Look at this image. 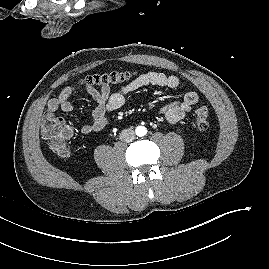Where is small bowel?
Here are the masks:
<instances>
[{
	"label": "small bowel",
	"instance_id": "obj_1",
	"mask_svg": "<svg viewBox=\"0 0 269 269\" xmlns=\"http://www.w3.org/2000/svg\"><path fill=\"white\" fill-rule=\"evenodd\" d=\"M179 84L180 80L175 75L149 71L138 75L129 83L122 85L115 92H111V89L108 86L101 87L100 89L93 86H85L82 89H84L95 101L96 107L92 113L91 123L84 124L80 131L82 134L87 135L104 129L108 124V114L121 108L125 104L128 95L142 87L154 85L176 89ZM79 89H81V87L75 85L64 87L57 97L49 100L47 104V113L54 114L58 110L70 112L73 109L71 96ZM198 101V94L194 91H188L183 95L181 100L163 106L160 109V113L168 122L175 124L182 120ZM71 135L72 129L69 126H66V136L69 137Z\"/></svg>",
	"mask_w": 269,
	"mask_h": 269
}]
</instances>
